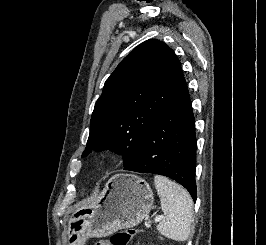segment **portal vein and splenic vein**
Returning <instances> with one entry per match:
<instances>
[{"label":"portal vein and splenic vein","instance_id":"18ae733b","mask_svg":"<svg viewBox=\"0 0 266 245\" xmlns=\"http://www.w3.org/2000/svg\"><path fill=\"white\" fill-rule=\"evenodd\" d=\"M162 219H163V217L161 215V217H156L155 221H156V223H159V221H162Z\"/></svg>","mask_w":266,"mask_h":245}]
</instances>
